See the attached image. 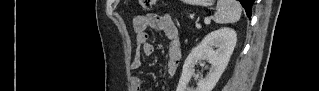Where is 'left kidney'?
Segmentation results:
<instances>
[{"label":"left kidney","mask_w":319,"mask_h":91,"mask_svg":"<svg viewBox=\"0 0 319 91\" xmlns=\"http://www.w3.org/2000/svg\"><path fill=\"white\" fill-rule=\"evenodd\" d=\"M237 41L236 32L230 28H221L207 34L186 58L176 91H212L223 74ZM217 48V50H215ZM201 60L211 64L209 73L191 89L188 84L194 75V67Z\"/></svg>","instance_id":"5707ae66"}]
</instances>
